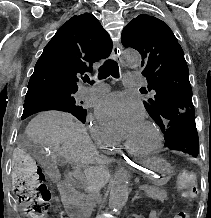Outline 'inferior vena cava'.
<instances>
[{
	"label": "inferior vena cava",
	"mask_w": 211,
	"mask_h": 218,
	"mask_svg": "<svg viewBox=\"0 0 211 218\" xmlns=\"http://www.w3.org/2000/svg\"><path fill=\"white\" fill-rule=\"evenodd\" d=\"M85 176V192H87L85 210L86 212H93L92 208H94L95 202L97 198H99V192L105 184L104 182H98V180H95L94 176H92L90 172H85Z\"/></svg>",
	"instance_id": "obj_1"
}]
</instances>
